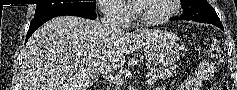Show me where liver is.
I'll list each match as a JSON object with an SVG mask.
<instances>
[{"label": "liver", "mask_w": 237, "mask_h": 90, "mask_svg": "<svg viewBox=\"0 0 237 90\" xmlns=\"http://www.w3.org/2000/svg\"><path fill=\"white\" fill-rule=\"evenodd\" d=\"M156 30L106 34L98 20L52 18L29 38L22 56L24 90H89L94 74L122 68L124 52H137Z\"/></svg>", "instance_id": "1"}]
</instances>
